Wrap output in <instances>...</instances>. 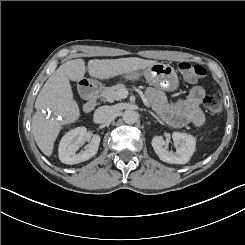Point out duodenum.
Here are the masks:
<instances>
[{
  "instance_id": "1",
  "label": "duodenum",
  "mask_w": 245,
  "mask_h": 245,
  "mask_svg": "<svg viewBox=\"0 0 245 245\" xmlns=\"http://www.w3.org/2000/svg\"><path fill=\"white\" fill-rule=\"evenodd\" d=\"M82 93L86 98L84 111L86 113H91L97 105V88L94 85L85 84L82 87Z\"/></svg>"
}]
</instances>
